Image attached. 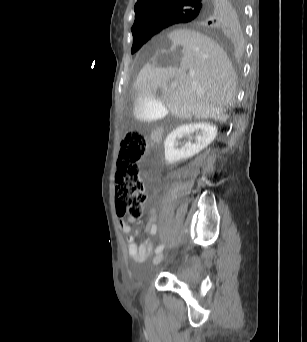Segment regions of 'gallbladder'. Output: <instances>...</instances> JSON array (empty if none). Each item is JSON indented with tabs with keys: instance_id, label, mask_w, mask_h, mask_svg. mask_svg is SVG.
I'll return each mask as SVG.
<instances>
[{
	"instance_id": "1",
	"label": "gallbladder",
	"mask_w": 307,
	"mask_h": 342,
	"mask_svg": "<svg viewBox=\"0 0 307 342\" xmlns=\"http://www.w3.org/2000/svg\"><path fill=\"white\" fill-rule=\"evenodd\" d=\"M135 113L142 118L143 123H155L156 118H166L161 99H154L153 95H134Z\"/></svg>"
}]
</instances>
